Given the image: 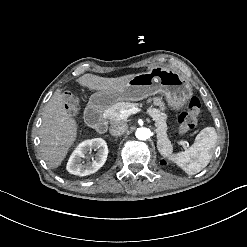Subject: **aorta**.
I'll return each instance as SVG.
<instances>
[{
    "label": "aorta",
    "mask_w": 247,
    "mask_h": 247,
    "mask_svg": "<svg viewBox=\"0 0 247 247\" xmlns=\"http://www.w3.org/2000/svg\"><path fill=\"white\" fill-rule=\"evenodd\" d=\"M135 136L139 140H146L151 136V131L148 128L141 127L136 130Z\"/></svg>",
    "instance_id": "762f6f07"
}]
</instances>
